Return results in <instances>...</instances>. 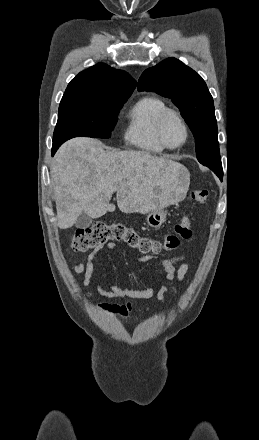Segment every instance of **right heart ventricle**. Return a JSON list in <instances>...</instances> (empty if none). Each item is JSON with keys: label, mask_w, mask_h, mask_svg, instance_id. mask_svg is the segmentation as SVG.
<instances>
[{"label": "right heart ventricle", "mask_w": 259, "mask_h": 440, "mask_svg": "<svg viewBox=\"0 0 259 440\" xmlns=\"http://www.w3.org/2000/svg\"><path fill=\"white\" fill-rule=\"evenodd\" d=\"M167 104L156 96L140 98L129 110L124 130L125 141L150 154L162 153L165 148L156 137V124Z\"/></svg>", "instance_id": "1"}]
</instances>
